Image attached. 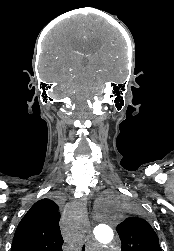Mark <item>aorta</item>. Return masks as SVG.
Returning <instances> with one entry per match:
<instances>
[{"label": "aorta", "mask_w": 174, "mask_h": 251, "mask_svg": "<svg viewBox=\"0 0 174 251\" xmlns=\"http://www.w3.org/2000/svg\"><path fill=\"white\" fill-rule=\"evenodd\" d=\"M114 210L104 203L100 205L98 218L95 221L94 238L102 245L110 243L113 239Z\"/></svg>", "instance_id": "762f6f07"}]
</instances>
